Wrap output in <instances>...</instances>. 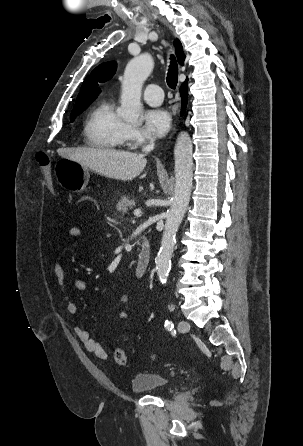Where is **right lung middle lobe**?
<instances>
[{
  "label": "right lung middle lobe",
  "mask_w": 303,
  "mask_h": 446,
  "mask_svg": "<svg viewBox=\"0 0 303 446\" xmlns=\"http://www.w3.org/2000/svg\"><path fill=\"white\" fill-rule=\"evenodd\" d=\"M90 104H91V103L86 104V105H83V106H80V107H77V108H74L73 111H72V113H71V122H73L74 119H75V118H76L82 111H84Z\"/></svg>",
  "instance_id": "obj_1"
}]
</instances>
